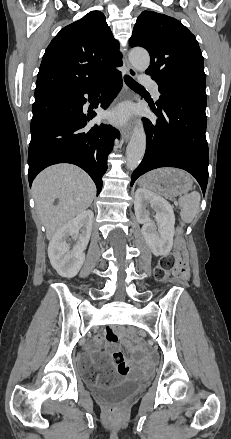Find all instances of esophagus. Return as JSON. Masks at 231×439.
Masks as SVG:
<instances>
[{"label": "esophagus", "mask_w": 231, "mask_h": 439, "mask_svg": "<svg viewBox=\"0 0 231 439\" xmlns=\"http://www.w3.org/2000/svg\"><path fill=\"white\" fill-rule=\"evenodd\" d=\"M126 68H127L126 70H127L128 75H130L133 78H136V76H137L136 70L132 66H130L128 63H126ZM131 132H132L131 125L123 126L121 128V135H122V138L124 139V141H127L129 139Z\"/></svg>", "instance_id": "34e87169"}]
</instances>
